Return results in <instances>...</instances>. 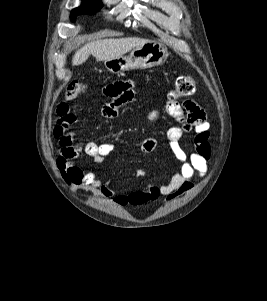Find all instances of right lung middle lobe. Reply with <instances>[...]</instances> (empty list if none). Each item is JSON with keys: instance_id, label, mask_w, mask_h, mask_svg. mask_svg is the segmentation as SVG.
Masks as SVG:
<instances>
[{"instance_id": "1", "label": "right lung middle lobe", "mask_w": 267, "mask_h": 301, "mask_svg": "<svg viewBox=\"0 0 267 301\" xmlns=\"http://www.w3.org/2000/svg\"><path fill=\"white\" fill-rule=\"evenodd\" d=\"M102 8V3L100 0H83L80 7H77L72 10L70 19L75 21L76 16L81 14H94Z\"/></svg>"}]
</instances>
